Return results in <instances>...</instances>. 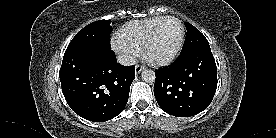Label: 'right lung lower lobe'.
<instances>
[{"label":"right lung lower lobe","instance_id":"1","mask_svg":"<svg viewBox=\"0 0 276 138\" xmlns=\"http://www.w3.org/2000/svg\"><path fill=\"white\" fill-rule=\"evenodd\" d=\"M59 77L70 108L87 120L104 122L125 108L135 66L117 63L111 48L85 46L65 52Z\"/></svg>","mask_w":276,"mask_h":138}]
</instances>
